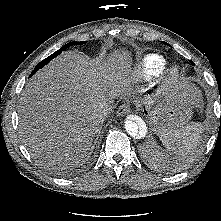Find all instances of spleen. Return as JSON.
Instances as JSON below:
<instances>
[{
	"label": "spleen",
	"instance_id": "1",
	"mask_svg": "<svg viewBox=\"0 0 221 221\" xmlns=\"http://www.w3.org/2000/svg\"><path fill=\"white\" fill-rule=\"evenodd\" d=\"M199 124H187L160 136L163 145L181 155L191 153L199 142Z\"/></svg>",
	"mask_w": 221,
	"mask_h": 221
}]
</instances>
